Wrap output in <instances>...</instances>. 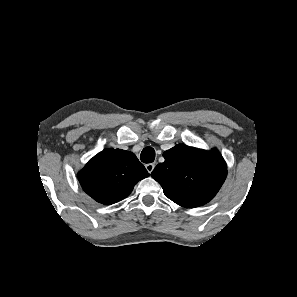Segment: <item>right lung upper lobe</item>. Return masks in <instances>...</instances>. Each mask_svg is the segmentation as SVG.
<instances>
[{
  "mask_svg": "<svg viewBox=\"0 0 297 297\" xmlns=\"http://www.w3.org/2000/svg\"><path fill=\"white\" fill-rule=\"evenodd\" d=\"M148 176L135 154L121 149L103 150L78 173L83 190L105 205L126 198L135 184Z\"/></svg>",
  "mask_w": 297,
  "mask_h": 297,
  "instance_id": "right-lung-upper-lobe-1",
  "label": "right lung upper lobe"
}]
</instances>
